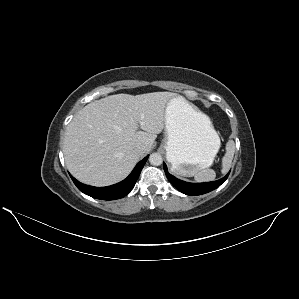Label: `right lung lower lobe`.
<instances>
[{"label":"right lung lower lobe","instance_id":"right-lung-lower-lobe-1","mask_svg":"<svg viewBox=\"0 0 299 299\" xmlns=\"http://www.w3.org/2000/svg\"><path fill=\"white\" fill-rule=\"evenodd\" d=\"M147 159L148 156L141 160L125 180L107 187H93L85 185L77 181L73 176H70L77 188L88 196L102 200L120 199L126 196L134 187Z\"/></svg>","mask_w":299,"mask_h":299}]
</instances>
